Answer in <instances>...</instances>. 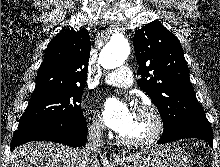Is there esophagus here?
<instances>
[{"mask_svg": "<svg viewBox=\"0 0 220 167\" xmlns=\"http://www.w3.org/2000/svg\"><path fill=\"white\" fill-rule=\"evenodd\" d=\"M110 157L113 158V159H117L118 158V156L116 154H114V153L111 154Z\"/></svg>", "mask_w": 220, "mask_h": 167, "instance_id": "1", "label": "esophagus"}]
</instances>
